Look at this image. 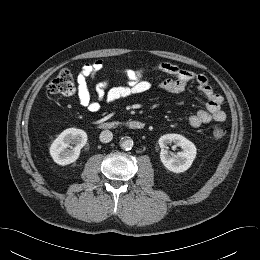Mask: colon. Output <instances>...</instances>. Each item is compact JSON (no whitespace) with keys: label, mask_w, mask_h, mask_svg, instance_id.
I'll use <instances>...</instances> for the list:
<instances>
[{"label":"colon","mask_w":260,"mask_h":260,"mask_svg":"<svg viewBox=\"0 0 260 260\" xmlns=\"http://www.w3.org/2000/svg\"><path fill=\"white\" fill-rule=\"evenodd\" d=\"M48 91L52 94L64 96L72 95L75 92V78L70 70H61L58 75L49 83ZM226 134V127L222 124H213L210 128V135L214 140L222 139Z\"/></svg>","instance_id":"colon-1"}]
</instances>
